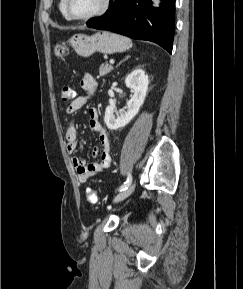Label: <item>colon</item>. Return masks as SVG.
I'll return each instance as SVG.
<instances>
[{
	"instance_id": "obj_1",
	"label": "colon",
	"mask_w": 243,
	"mask_h": 289,
	"mask_svg": "<svg viewBox=\"0 0 243 289\" xmlns=\"http://www.w3.org/2000/svg\"><path fill=\"white\" fill-rule=\"evenodd\" d=\"M72 97H73V90L68 86H64L61 89L62 101L67 102V101L71 100ZM86 199L90 204H96L97 203V195L91 188H88L86 191Z\"/></svg>"
}]
</instances>
